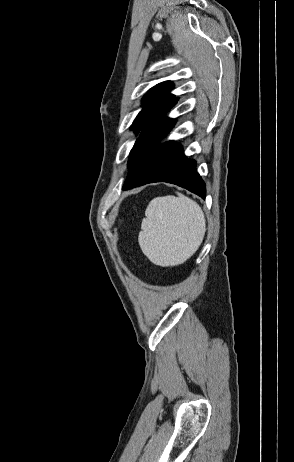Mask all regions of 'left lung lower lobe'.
Returning <instances> with one entry per match:
<instances>
[{"mask_svg":"<svg viewBox=\"0 0 294 462\" xmlns=\"http://www.w3.org/2000/svg\"><path fill=\"white\" fill-rule=\"evenodd\" d=\"M155 107L147 116L142 133L130 152V168L123 190L132 189L147 183L168 182L199 195L205 199L206 188L200 175L196 172V162L189 160L180 144L168 141L157 146L172 129L175 121L164 118L170 108Z\"/></svg>","mask_w":294,"mask_h":462,"instance_id":"0a47b994","label":"left lung lower lobe"}]
</instances>
